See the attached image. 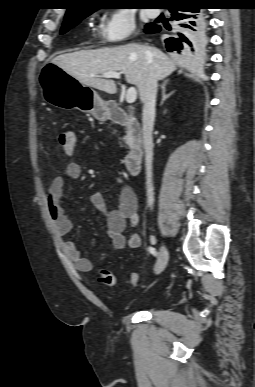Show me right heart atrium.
<instances>
[{
  "label": "right heart atrium",
  "instance_id": "d8ad5b80",
  "mask_svg": "<svg viewBox=\"0 0 255 387\" xmlns=\"http://www.w3.org/2000/svg\"><path fill=\"white\" fill-rule=\"evenodd\" d=\"M135 31V19L132 13L125 8L113 10L101 23L100 38L107 43L124 41Z\"/></svg>",
  "mask_w": 255,
  "mask_h": 387
}]
</instances>
